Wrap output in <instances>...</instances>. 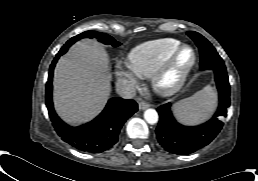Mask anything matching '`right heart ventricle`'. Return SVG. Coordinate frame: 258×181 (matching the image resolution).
Returning <instances> with one entry per match:
<instances>
[{
  "label": "right heart ventricle",
  "instance_id": "right-heart-ventricle-1",
  "mask_svg": "<svg viewBox=\"0 0 258 181\" xmlns=\"http://www.w3.org/2000/svg\"><path fill=\"white\" fill-rule=\"evenodd\" d=\"M174 38L148 41L134 47L127 60L129 69L140 78H150L156 69L180 46Z\"/></svg>",
  "mask_w": 258,
  "mask_h": 181
}]
</instances>
